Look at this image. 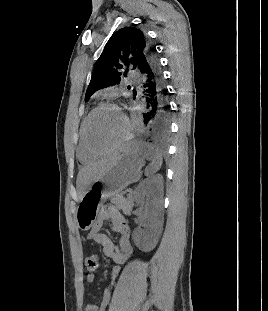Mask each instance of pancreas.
Instances as JSON below:
<instances>
[{
	"label": "pancreas",
	"instance_id": "cf45deb5",
	"mask_svg": "<svg viewBox=\"0 0 268 311\" xmlns=\"http://www.w3.org/2000/svg\"><path fill=\"white\" fill-rule=\"evenodd\" d=\"M111 202L119 209L122 210L125 215H130L134 206V199L131 195L124 198L122 194H117L111 198Z\"/></svg>",
	"mask_w": 268,
	"mask_h": 311
}]
</instances>
